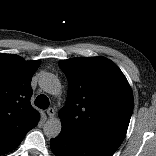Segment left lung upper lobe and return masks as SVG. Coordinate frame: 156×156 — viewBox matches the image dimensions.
Masks as SVG:
<instances>
[{
  "label": "left lung upper lobe",
  "instance_id": "left-lung-upper-lobe-1",
  "mask_svg": "<svg viewBox=\"0 0 156 156\" xmlns=\"http://www.w3.org/2000/svg\"><path fill=\"white\" fill-rule=\"evenodd\" d=\"M59 66L68 79V97L59 112L62 129L117 150L133 111L122 71L104 57L62 60Z\"/></svg>",
  "mask_w": 156,
  "mask_h": 156
}]
</instances>
